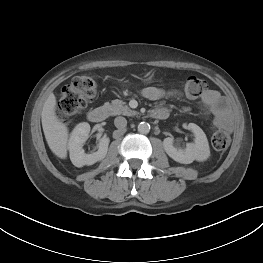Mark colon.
<instances>
[{
    "label": "colon",
    "mask_w": 263,
    "mask_h": 263,
    "mask_svg": "<svg viewBox=\"0 0 263 263\" xmlns=\"http://www.w3.org/2000/svg\"><path fill=\"white\" fill-rule=\"evenodd\" d=\"M184 94L189 98H199L206 90V83L195 76L185 79L182 84ZM97 95L96 80L87 75L74 78L63 87L58 102L57 113L62 119H69L79 113ZM211 143L215 150H225L230 143L229 134L222 129H215L211 136Z\"/></svg>",
    "instance_id": "colon-1"
}]
</instances>
